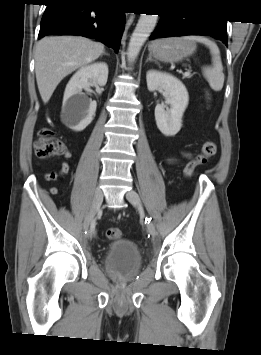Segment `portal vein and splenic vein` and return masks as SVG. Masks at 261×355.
Segmentation results:
<instances>
[{
    "label": "portal vein and splenic vein",
    "instance_id": "1",
    "mask_svg": "<svg viewBox=\"0 0 261 355\" xmlns=\"http://www.w3.org/2000/svg\"><path fill=\"white\" fill-rule=\"evenodd\" d=\"M183 75H184V77H190L191 76V72L190 71H186Z\"/></svg>",
    "mask_w": 261,
    "mask_h": 355
}]
</instances>
